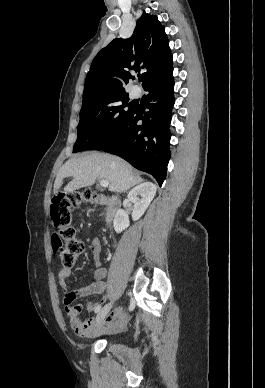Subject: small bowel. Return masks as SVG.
I'll list each match as a JSON object with an SVG mask.
<instances>
[{
    "label": "small bowel",
    "instance_id": "1",
    "mask_svg": "<svg viewBox=\"0 0 265 388\" xmlns=\"http://www.w3.org/2000/svg\"><path fill=\"white\" fill-rule=\"evenodd\" d=\"M92 258L96 267L94 272L95 281L91 284L70 291L66 284V279L71 275L70 267H65L59 272L60 288L64 296V303L66 305V312L70 317V324L74 332L81 337H91L92 335H99L109 331H113L121 327L124 321V314L120 308H117L110 316L96 326V317H91L81 321L79 313L81 307L79 305L72 306V303L78 298H88L97 294H103L106 289L105 275L106 271L101 262V242L99 238H93L90 244ZM104 299V297H103ZM102 302V301H101ZM100 306V302H88L86 309L89 312H95V309ZM62 322V320H61Z\"/></svg>",
    "mask_w": 265,
    "mask_h": 388
}]
</instances>
